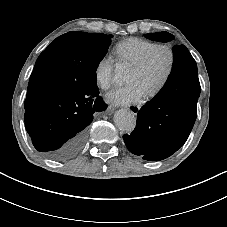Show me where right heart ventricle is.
<instances>
[{"label": "right heart ventricle", "mask_w": 227, "mask_h": 227, "mask_svg": "<svg viewBox=\"0 0 227 227\" xmlns=\"http://www.w3.org/2000/svg\"><path fill=\"white\" fill-rule=\"evenodd\" d=\"M154 45V42L142 38H127L114 48L117 62L133 67Z\"/></svg>", "instance_id": "e07e8e85"}]
</instances>
